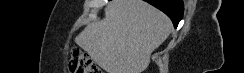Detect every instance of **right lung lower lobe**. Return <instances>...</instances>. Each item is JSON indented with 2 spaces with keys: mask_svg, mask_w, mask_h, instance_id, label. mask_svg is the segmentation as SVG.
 <instances>
[{
  "mask_svg": "<svg viewBox=\"0 0 244 73\" xmlns=\"http://www.w3.org/2000/svg\"><path fill=\"white\" fill-rule=\"evenodd\" d=\"M167 14L175 27L183 17L184 5L182 0H144Z\"/></svg>",
  "mask_w": 244,
  "mask_h": 73,
  "instance_id": "right-lung-lower-lobe-1",
  "label": "right lung lower lobe"
}]
</instances>
